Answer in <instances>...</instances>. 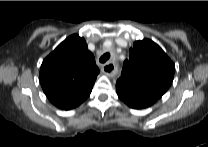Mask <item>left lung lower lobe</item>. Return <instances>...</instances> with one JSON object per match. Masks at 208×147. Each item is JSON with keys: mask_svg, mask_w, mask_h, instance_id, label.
Segmentation results:
<instances>
[{"mask_svg": "<svg viewBox=\"0 0 208 147\" xmlns=\"http://www.w3.org/2000/svg\"><path fill=\"white\" fill-rule=\"evenodd\" d=\"M116 91L119 98L129 107L134 109L149 107L157 101V98L154 96L127 88L120 84H116Z\"/></svg>", "mask_w": 208, "mask_h": 147, "instance_id": "obj_1", "label": "left lung lower lobe"}]
</instances>
